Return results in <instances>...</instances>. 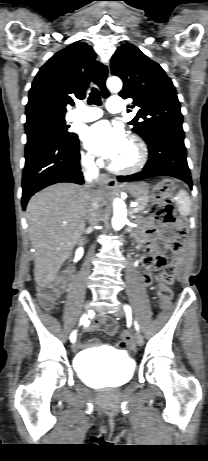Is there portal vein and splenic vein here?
I'll return each mask as SVG.
<instances>
[{
    "label": "portal vein and splenic vein",
    "mask_w": 208,
    "mask_h": 461,
    "mask_svg": "<svg viewBox=\"0 0 208 461\" xmlns=\"http://www.w3.org/2000/svg\"><path fill=\"white\" fill-rule=\"evenodd\" d=\"M130 206L136 211V208H137V206H138V203L132 202V203L130 204Z\"/></svg>",
    "instance_id": "obj_1"
}]
</instances>
